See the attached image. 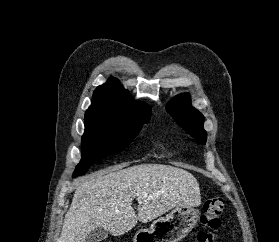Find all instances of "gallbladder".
Wrapping results in <instances>:
<instances>
[{
  "instance_id": "gallbladder-1",
  "label": "gallbladder",
  "mask_w": 279,
  "mask_h": 242,
  "mask_svg": "<svg viewBox=\"0 0 279 242\" xmlns=\"http://www.w3.org/2000/svg\"><path fill=\"white\" fill-rule=\"evenodd\" d=\"M107 237L108 231L101 227H98L87 235L85 242H102Z\"/></svg>"
}]
</instances>
